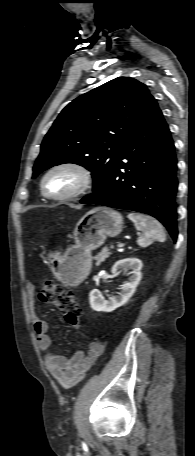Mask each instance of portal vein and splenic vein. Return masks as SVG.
Wrapping results in <instances>:
<instances>
[{
  "label": "portal vein and splenic vein",
  "mask_w": 195,
  "mask_h": 456,
  "mask_svg": "<svg viewBox=\"0 0 195 456\" xmlns=\"http://www.w3.org/2000/svg\"><path fill=\"white\" fill-rule=\"evenodd\" d=\"M115 247H116V244H111V245H110V248H111V249H113V248H115Z\"/></svg>",
  "instance_id": "18ae733b"
}]
</instances>
